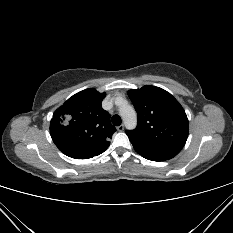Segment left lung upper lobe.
Listing matches in <instances>:
<instances>
[{"label":"left lung upper lobe","mask_w":233,"mask_h":233,"mask_svg":"<svg viewBox=\"0 0 233 233\" xmlns=\"http://www.w3.org/2000/svg\"><path fill=\"white\" fill-rule=\"evenodd\" d=\"M138 115L137 127L127 130L134 149L165 160L176 156L188 137V119L167 91L151 85L128 91Z\"/></svg>","instance_id":"obj_1"}]
</instances>
